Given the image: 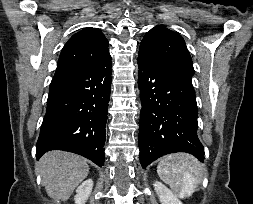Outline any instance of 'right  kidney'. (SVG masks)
I'll return each mask as SVG.
<instances>
[{"label":"right kidney","instance_id":"obj_1","mask_svg":"<svg viewBox=\"0 0 253 204\" xmlns=\"http://www.w3.org/2000/svg\"><path fill=\"white\" fill-rule=\"evenodd\" d=\"M93 188L92 179L84 181L77 189L74 196L75 204H85Z\"/></svg>","mask_w":253,"mask_h":204}]
</instances>
